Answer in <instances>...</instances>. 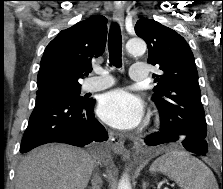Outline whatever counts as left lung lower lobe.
Masks as SVG:
<instances>
[{
	"mask_svg": "<svg viewBox=\"0 0 223 189\" xmlns=\"http://www.w3.org/2000/svg\"><path fill=\"white\" fill-rule=\"evenodd\" d=\"M175 141H181L185 149L195 154L205 155L208 152L207 140L191 135L180 137L178 135L164 133L160 130V132L147 136L145 140L146 144L149 146H157Z\"/></svg>",
	"mask_w": 223,
	"mask_h": 189,
	"instance_id": "obj_1",
	"label": "left lung lower lobe"
}]
</instances>
